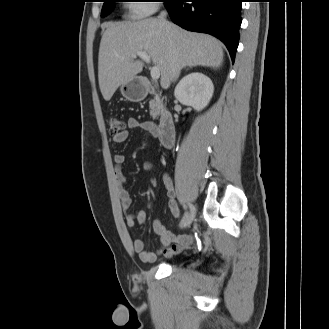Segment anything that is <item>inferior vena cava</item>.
I'll return each mask as SVG.
<instances>
[{"label": "inferior vena cava", "instance_id": "obj_1", "mask_svg": "<svg viewBox=\"0 0 329 329\" xmlns=\"http://www.w3.org/2000/svg\"><path fill=\"white\" fill-rule=\"evenodd\" d=\"M159 18L162 22H164L167 25L165 11L161 12ZM180 71H181V67L176 59V60H174V63L172 65V75H171L172 80H176L179 77Z\"/></svg>", "mask_w": 329, "mask_h": 329}]
</instances>
